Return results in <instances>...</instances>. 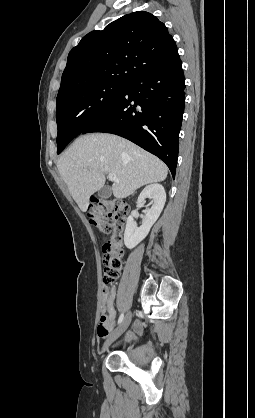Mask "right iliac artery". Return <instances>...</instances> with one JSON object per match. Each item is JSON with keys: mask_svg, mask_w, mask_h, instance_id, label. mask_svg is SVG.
I'll return each mask as SVG.
<instances>
[{"mask_svg": "<svg viewBox=\"0 0 255 418\" xmlns=\"http://www.w3.org/2000/svg\"><path fill=\"white\" fill-rule=\"evenodd\" d=\"M124 319V313H122L118 319V324H120Z\"/></svg>", "mask_w": 255, "mask_h": 418, "instance_id": "82829eb1", "label": "right iliac artery"}]
</instances>
